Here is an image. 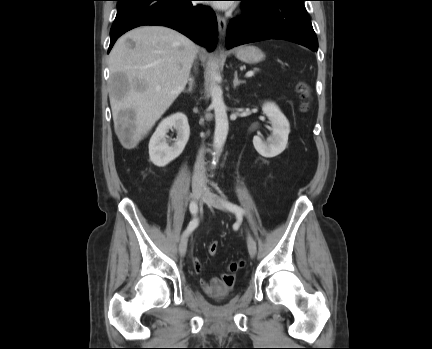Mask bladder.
Returning <instances> with one entry per match:
<instances>
[{"label": "bladder", "mask_w": 432, "mask_h": 349, "mask_svg": "<svg viewBox=\"0 0 432 349\" xmlns=\"http://www.w3.org/2000/svg\"><path fill=\"white\" fill-rule=\"evenodd\" d=\"M229 293H226V294H224L223 296H220L219 298H218V301L220 302V303H224L225 302V298L227 297V295H228Z\"/></svg>", "instance_id": "1"}]
</instances>
